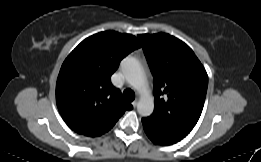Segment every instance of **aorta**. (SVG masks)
Here are the masks:
<instances>
[{"mask_svg":"<svg viewBox=\"0 0 261 162\" xmlns=\"http://www.w3.org/2000/svg\"><path fill=\"white\" fill-rule=\"evenodd\" d=\"M121 72L126 81L139 91H143L145 88V79L142 68L139 62L132 57H126L120 64ZM154 101L147 93L143 94L137 104V112L147 117L153 113Z\"/></svg>","mask_w":261,"mask_h":162,"instance_id":"762f6f07","label":"aorta"}]
</instances>
